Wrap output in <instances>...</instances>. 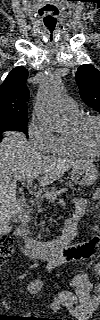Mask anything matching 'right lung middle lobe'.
<instances>
[{
  "label": "right lung middle lobe",
  "mask_w": 100,
  "mask_h": 320,
  "mask_svg": "<svg viewBox=\"0 0 100 320\" xmlns=\"http://www.w3.org/2000/svg\"><path fill=\"white\" fill-rule=\"evenodd\" d=\"M26 126L27 118H11L0 120V134L6 131H20L27 135L28 128Z\"/></svg>",
  "instance_id": "1"
}]
</instances>
